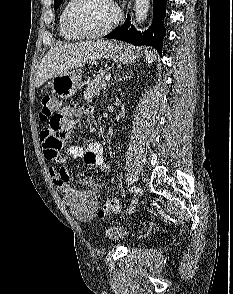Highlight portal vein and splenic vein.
<instances>
[{"instance_id":"portal-vein-and-splenic-vein-1","label":"portal vein and splenic vein","mask_w":233,"mask_h":294,"mask_svg":"<svg viewBox=\"0 0 233 294\" xmlns=\"http://www.w3.org/2000/svg\"><path fill=\"white\" fill-rule=\"evenodd\" d=\"M110 78H111V75H106L105 76V80H107V81L110 80Z\"/></svg>"}]
</instances>
